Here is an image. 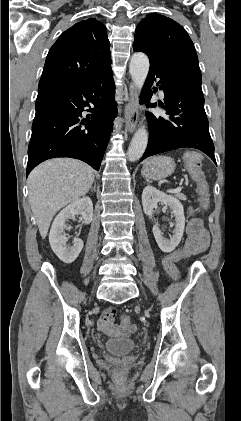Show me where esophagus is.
<instances>
[{"instance_id":"obj_1","label":"esophagus","mask_w":241,"mask_h":421,"mask_svg":"<svg viewBox=\"0 0 241 421\" xmlns=\"http://www.w3.org/2000/svg\"><path fill=\"white\" fill-rule=\"evenodd\" d=\"M125 122L128 131L133 133L138 122V102L137 91L132 82L129 84V98L125 106Z\"/></svg>"}]
</instances>
